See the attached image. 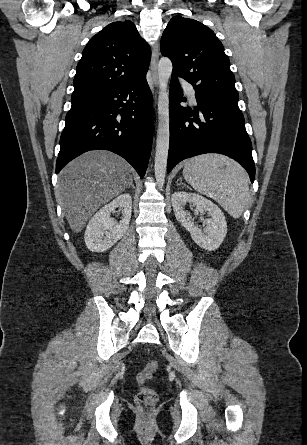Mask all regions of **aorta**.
<instances>
[{
  "instance_id": "obj_1",
  "label": "aorta",
  "mask_w": 307,
  "mask_h": 445,
  "mask_svg": "<svg viewBox=\"0 0 307 445\" xmlns=\"http://www.w3.org/2000/svg\"><path fill=\"white\" fill-rule=\"evenodd\" d=\"M172 62L167 56H162L158 62L157 74L159 80L158 96V130L156 138L155 152V178L158 186H163L165 182L168 150H169V98L168 80L172 72Z\"/></svg>"
}]
</instances>
